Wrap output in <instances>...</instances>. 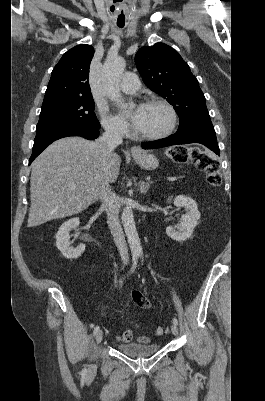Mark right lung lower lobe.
<instances>
[{
	"mask_svg": "<svg viewBox=\"0 0 265 401\" xmlns=\"http://www.w3.org/2000/svg\"><path fill=\"white\" fill-rule=\"evenodd\" d=\"M67 136H81L83 138L93 140L99 136V129L82 126L58 125L37 131L29 165L48 145L55 140Z\"/></svg>",
	"mask_w": 265,
	"mask_h": 401,
	"instance_id": "1",
	"label": "right lung lower lobe"
}]
</instances>
